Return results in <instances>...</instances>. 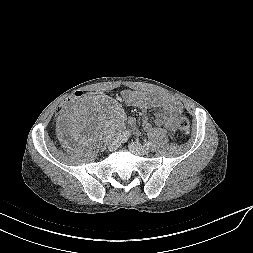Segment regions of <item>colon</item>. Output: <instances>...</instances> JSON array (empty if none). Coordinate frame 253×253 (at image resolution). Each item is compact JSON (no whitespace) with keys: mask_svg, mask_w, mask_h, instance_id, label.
<instances>
[{"mask_svg":"<svg viewBox=\"0 0 253 253\" xmlns=\"http://www.w3.org/2000/svg\"><path fill=\"white\" fill-rule=\"evenodd\" d=\"M87 97H93L94 91L91 89H81L75 94H72L69 96L66 100H64L59 106L58 111L64 112L67 108H69L72 104L75 103V101L80 100L81 98ZM177 127L180 132L187 134L190 131V123L187 118H180L177 122Z\"/></svg>","mask_w":253,"mask_h":253,"instance_id":"5ec220e1","label":"colon"}]
</instances>
